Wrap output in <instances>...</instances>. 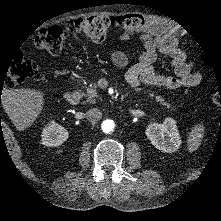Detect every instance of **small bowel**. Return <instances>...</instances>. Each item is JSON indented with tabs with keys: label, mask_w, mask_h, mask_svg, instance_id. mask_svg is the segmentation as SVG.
I'll return each instance as SVG.
<instances>
[{
	"label": "small bowel",
	"mask_w": 221,
	"mask_h": 221,
	"mask_svg": "<svg viewBox=\"0 0 221 221\" xmlns=\"http://www.w3.org/2000/svg\"><path fill=\"white\" fill-rule=\"evenodd\" d=\"M145 24L137 31L141 33V41L144 51L134 57V64L127 70L125 79L132 88L141 85L158 86L167 89L180 87H193L201 82V74L196 71L193 62H187L186 54L178 47V39L173 29L165 22L147 16ZM128 30L120 35L121 41L130 37ZM158 54L167 57L174 68L175 76H167L156 73L153 63ZM111 61L117 67H125L130 58L121 51L111 53Z\"/></svg>",
	"instance_id": "c3829d8e"
}]
</instances>
